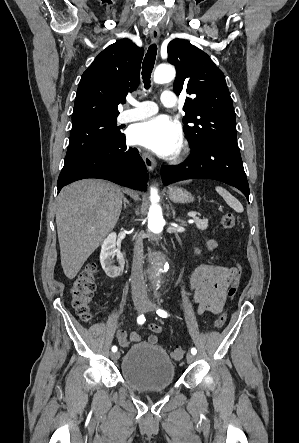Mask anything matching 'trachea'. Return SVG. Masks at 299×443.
Returning a JSON list of instances; mask_svg holds the SVG:
<instances>
[{"instance_id":"3493384b","label":"trachea","mask_w":299,"mask_h":443,"mask_svg":"<svg viewBox=\"0 0 299 443\" xmlns=\"http://www.w3.org/2000/svg\"><path fill=\"white\" fill-rule=\"evenodd\" d=\"M156 55L157 46L156 44H152L149 46L142 65V79L146 90L150 88V77L155 64Z\"/></svg>"}]
</instances>
